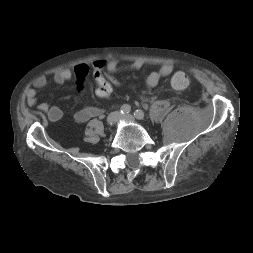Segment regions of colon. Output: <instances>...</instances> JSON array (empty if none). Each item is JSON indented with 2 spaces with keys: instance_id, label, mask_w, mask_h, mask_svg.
I'll list each match as a JSON object with an SVG mask.
<instances>
[{
  "instance_id": "colon-1",
  "label": "colon",
  "mask_w": 253,
  "mask_h": 253,
  "mask_svg": "<svg viewBox=\"0 0 253 253\" xmlns=\"http://www.w3.org/2000/svg\"><path fill=\"white\" fill-rule=\"evenodd\" d=\"M92 76L96 84V93L101 98H108L114 87L121 82L106 68V61L97 60L92 64ZM190 85V77L184 72H178L171 78V86L176 90H184Z\"/></svg>"
}]
</instances>
